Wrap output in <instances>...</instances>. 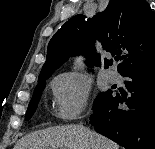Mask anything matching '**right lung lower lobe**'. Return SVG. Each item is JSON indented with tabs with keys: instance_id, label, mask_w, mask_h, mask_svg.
I'll list each match as a JSON object with an SVG mask.
<instances>
[{
	"instance_id": "right-lung-lower-lobe-1",
	"label": "right lung lower lobe",
	"mask_w": 155,
	"mask_h": 149,
	"mask_svg": "<svg viewBox=\"0 0 155 149\" xmlns=\"http://www.w3.org/2000/svg\"><path fill=\"white\" fill-rule=\"evenodd\" d=\"M131 80V96L112 97L94 109L95 130L126 149H155V65L134 67L123 74ZM126 106L118 108L119 104Z\"/></svg>"
}]
</instances>
